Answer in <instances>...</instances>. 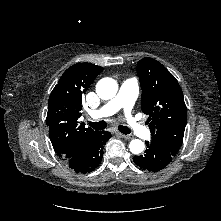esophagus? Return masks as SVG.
<instances>
[{
  "mask_svg": "<svg viewBox=\"0 0 221 221\" xmlns=\"http://www.w3.org/2000/svg\"><path fill=\"white\" fill-rule=\"evenodd\" d=\"M119 136H121L122 138L124 139H127V140H130L132 139V136L131 135H126V134H122V133H117Z\"/></svg>",
  "mask_w": 221,
  "mask_h": 221,
  "instance_id": "1",
  "label": "esophagus"
}]
</instances>
